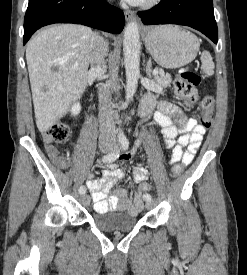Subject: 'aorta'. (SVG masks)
I'll return each mask as SVG.
<instances>
[{"instance_id":"762f6f07","label":"aorta","mask_w":247,"mask_h":275,"mask_svg":"<svg viewBox=\"0 0 247 275\" xmlns=\"http://www.w3.org/2000/svg\"><path fill=\"white\" fill-rule=\"evenodd\" d=\"M124 65L126 71V99H132L138 85L140 75V36L138 25L135 21L127 24L123 38ZM119 139H125L122 131H119Z\"/></svg>"}]
</instances>
